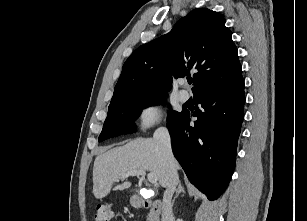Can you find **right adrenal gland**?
I'll use <instances>...</instances> for the list:
<instances>
[{"instance_id": "obj_1", "label": "right adrenal gland", "mask_w": 307, "mask_h": 221, "mask_svg": "<svg viewBox=\"0 0 307 221\" xmlns=\"http://www.w3.org/2000/svg\"><path fill=\"white\" fill-rule=\"evenodd\" d=\"M180 193H185V189H184V187H183V185H182L181 182H179V185H178V188H177V190H176V194H175V196H174V198H173L172 204L175 203V200H176V198L178 197V195H179Z\"/></svg>"}]
</instances>
